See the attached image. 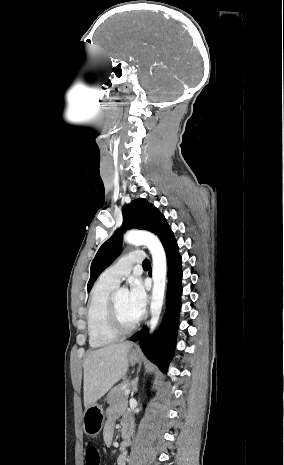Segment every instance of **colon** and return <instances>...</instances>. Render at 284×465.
Listing matches in <instances>:
<instances>
[{
	"label": "colon",
	"instance_id": "obj_1",
	"mask_svg": "<svg viewBox=\"0 0 284 465\" xmlns=\"http://www.w3.org/2000/svg\"><path fill=\"white\" fill-rule=\"evenodd\" d=\"M86 454L90 455L87 457L86 462L88 465H99L101 459L97 456V447L96 446H87Z\"/></svg>",
	"mask_w": 284,
	"mask_h": 465
}]
</instances>
